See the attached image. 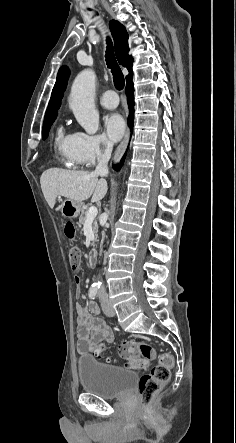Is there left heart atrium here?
<instances>
[{
	"label": "left heart atrium",
	"instance_id": "obj_1",
	"mask_svg": "<svg viewBox=\"0 0 236 443\" xmlns=\"http://www.w3.org/2000/svg\"><path fill=\"white\" fill-rule=\"evenodd\" d=\"M103 129L104 134L109 141H118L125 131L124 120L119 114L110 113L103 119Z\"/></svg>",
	"mask_w": 236,
	"mask_h": 443
}]
</instances>
